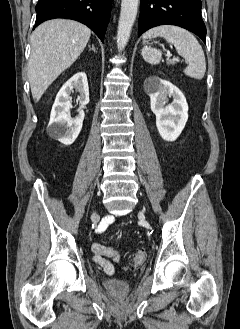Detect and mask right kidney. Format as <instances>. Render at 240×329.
<instances>
[{
	"label": "right kidney",
	"mask_w": 240,
	"mask_h": 329,
	"mask_svg": "<svg viewBox=\"0 0 240 329\" xmlns=\"http://www.w3.org/2000/svg\"><path fill=\"white\" fill-rule=\"evenodd\" d=\"M76 89L80 95L78 101L82 106L89 103V87L87 76L84 72L72 76L58 92L53 104L48 133L62 144L71 145L78 137L85 117L83 109L72 119L69 115L70 93Z\"/></svg>",
	"instance_id": "1"
}]
</instances>
